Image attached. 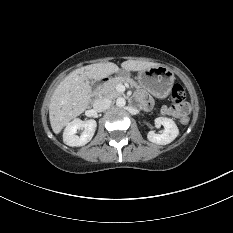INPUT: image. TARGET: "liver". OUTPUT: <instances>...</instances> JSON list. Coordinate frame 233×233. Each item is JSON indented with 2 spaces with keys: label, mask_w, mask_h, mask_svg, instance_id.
<instances>
[{
  "label": "liver",
  "mask_w": 233,
  "mask_h": 233,
  "mask_svg": "<svg viewBox=\"0 0 233 233\" xmlns=\"http://www.w3.org/2000/svg\"><path fill=\"white\" fill-rule=\"evenodd\" d=\"M155 66L160 64L135 60L121 64L125 71H143ZM117 72L119 67L116 64L106 62L87 65L70 73L50 99L49 119L53 132L60 133L66 124L87 109L92 92L89 79L99 81Z\"/></svg>",
  "instance_id": "1"
}]
</instances>
